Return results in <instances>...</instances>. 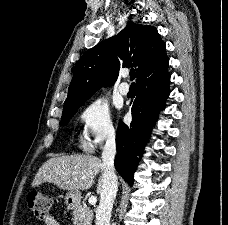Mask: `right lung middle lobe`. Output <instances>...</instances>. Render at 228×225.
I'll use <instances>...</instances> for the list:
<instances>
[{
    "mask_svg": "<svg viewBox=\"0 0 228 225\" xmlns=\"http://www.w3.org/2000/svg\"><path fill=\"white\" fill-rule=\"evenodd\" d=\"M84 102L64 107L60 125L61 126L66 125L69 122L70 118L75 114V112L78 110V108L83 105Z\"/></svg>",
    "mask_w": 228,
    "mask_h": 225,
    "instance_id": "obj_1",
    "label": "right lung middle lobe"
}]
</instances>
